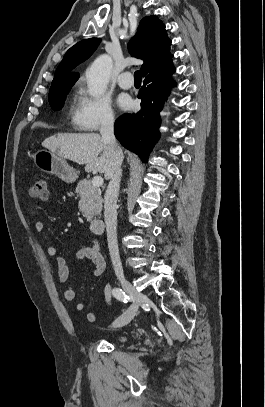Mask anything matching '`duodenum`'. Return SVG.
Returning a JSON list of instances; mask_svg holds the SVG:
<instances>
[{
  "instance_id": "duodenum-1",
  "label": "duodenum",
  "mask_w": 265,
  "mask_h": 407,
  "mask_svg": "<svg viewBox=\"0 0 265 407\" xmlns=\"http://www.w3.org/2000/svg\"><path fill=\"white\" fill-rule=\"evenodd\" d=\"M105 223L104 220L95 218L90 222V229L93 233L101 234L104 232Z\"/></svg>"
}]
</instances>
